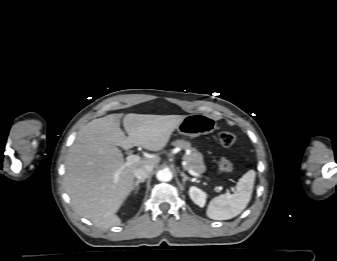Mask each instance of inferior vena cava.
I'll list each match as a JSON object with an SVG mask.
<instances>
[{
	"mask_svg": "<svg viewBox=\"0 0 337 261\" xmlns=\"http://www.w3.org/2000/svg\"><path fill=\"white\" fill-rule=\"evenodd\" d=\"M153 168H154V166L150 165V164L139 167L134 171V176L138 180H145L150 175Z\"/></svg>",
	"mask_w": 337,
	"mask_h": 261,
	"instance_id": "602c4592",
	"label": "inferior vena cava"
}]
</instances>
